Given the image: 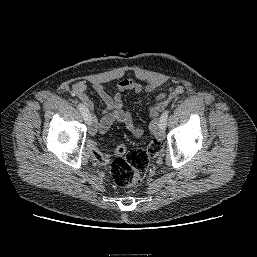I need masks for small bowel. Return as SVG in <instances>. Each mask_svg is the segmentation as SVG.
<instances>
[{
	"mask_svg": "<svg viewBox=\"0 0 257 257\" xmlns=\"http://www.w3.org/2000/svg\"><path fill=\"white\" fill-rule=\"evenodd\" d=\"M163 82L159 79L152 80L146 85H142L130 78H124L117 82L116 91L110 94L106 88L100 83H94L91 86L86 81H79L73 84L72 93L78 97L81 103L92 112L95 109L94 102L88 97L87 90L91 88L105 103L106 107L102 111V117L98 120L94 115L95 129L99 132H105L113 123L123 124L127 130L135 137H141L143 130L133 121L132 115L125 110L122 95L125 92H152L159 88ZM183 92L182 86H171L167 91L160 93L155 103L149 108V113L153 118L151 130L156 126L159 113L169 104L171 100L176 98ZM106 160L102 161L104 163Z\"/></svg>",
	"mask_w": 257,
	"mask_h": 257,
	"instance_id": "obj_1",
	"label": "small bowel"
}]
</instances>
